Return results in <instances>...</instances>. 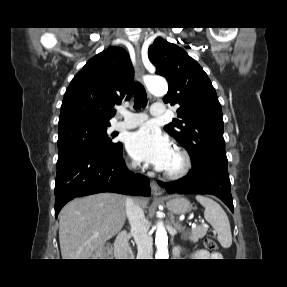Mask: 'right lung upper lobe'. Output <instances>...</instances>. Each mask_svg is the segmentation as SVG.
I'll return each mask as SVG.
<instances>
[{"label":"right lung upper lobe","instance_id":"1","mask_svg":"<svg viewBox=\"0 0 287 287\" xmlns=\"http://www.w3.org/2000/svg\"><path fill=\"white\" fill-rule=\"evenodd\" d=\"M134 70L128 53L109 47L72 79L61 105L59 127L86 122L110 126L114 105L132 97Z\"/></svg>","mask_w":287,"mask_h":287}]
</instances>
